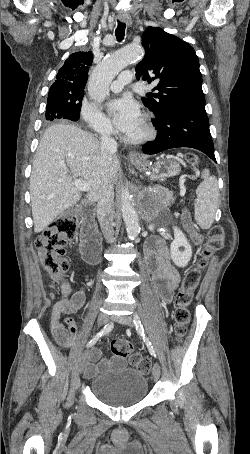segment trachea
I'll return each mask as SVG.
<instances>
[{"label":"trachea","mask_w":250,"mask_h":454,"mask_svg":"<svg viewBox=\"0 0 250 454\" xmlns=\"http://www.w3.org/2000/svg\"><path fill=\"white\" fill-rule=\"evenodd\" d=\"M125 28H126V24L121 22V21H118V25H117V28H116V31H115V35H116V38H117V40L119 42H121L124 39Z\"/></svg>","instance_id":"3493384b"}]
</instances>
